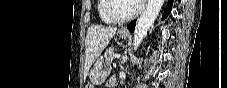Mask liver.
Returning a JSON list of instances; mask_svg holds the SVG:
<instances>
[{"mask_svg": "<svg viewBox=\"0 0 227 88\" xmlns=\"http://www.w3.org/2000/svg\"><path fill=\"white\" fill-rule=\"evenodd\" d=\"M116 27L92 25L88 28L85 42V69L89 71L92 64L106 48L111 38L116 34Z\"/></svg>", "mask_w": 227, "mask_h": 88, "instance_id": "liver-1", "label": "liver"}]
</instances>
